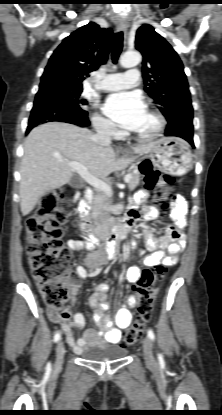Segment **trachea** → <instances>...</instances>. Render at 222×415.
I'll use <instances>...</instances> for the list:
<instances>
[{"label": "trachea", "instance_id": "1", "mask_svg": "<svg viewBox=\"0 0 222 415\" xmlns=\"http://www.w3.org/2000/svg\"><path fill=\"white\" fill-rule=\"evenodd\" d=\"M123 48V32H118L114 35L113 48H112V61L117 63L118 58Z\"/></svg>", "mask_w": 222, "mask_h": 415}]
</instances>
